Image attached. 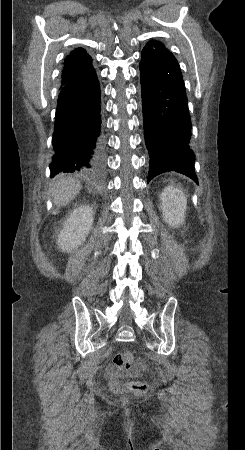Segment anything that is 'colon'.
Wrapping results in <instances>:
<instances>
[{
    "mask_svg": "<svg viewBox=\"0 0 245 450\" xmlns=\"http://www.w3.org/2000/svg\"><path fill=\"white\" fill-rule=\"evenodd\" d=\"M133 362V355L130 351L118 352L114 355L113 365L115 372L110 380V386L113 391H132L134 393H143L147 390V384L142 381H129L122 383L120 381L124 372L130 369Z\"/></svg>",
    "mask_w": 245,
    "mask_h": 450,
    "instance_id": "1",
    "label": "colon"
}]
</instances>
